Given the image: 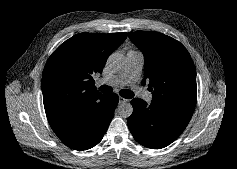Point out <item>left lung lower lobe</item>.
<instances>
[{
	"label": "left lung lower lobe",
	"mask_w": 237,
	"mask_h": 169,
	"mask_svg": "<svg viewBox=\"0 0 237 169\" xmlns=\"http://www.w3.org/2000/svg\"><path fill=\"white\" fill-rule=\"evenodd\" d=\"M133 113L128 118L129 129L142 145L160 149L172 143L186 128L192 114L152 100L151 105L142 99L131 101Z\"/></svg>",
	"instance_id": "obj_1"
}]
</instances>
